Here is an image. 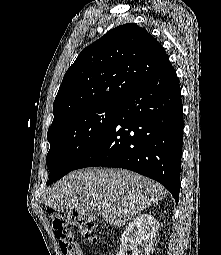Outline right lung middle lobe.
Segmentation results:
<instances>
[{
	"label": "right lung middle lobe",
	"mask_w": 221,
	"mask_h": 255,
	"mask_svg": "<svg viewBox=\"0 0 221 255\" xmlns=\"http://www.w3.org/2000/svg\"><path fill=\"white\" fill-rule=\"evenodd\" d=\"M120 103H104L79 110L48 129L50 150L46 165L50 172L47 185L73 170L74 166L106 130Z\"/></svg>",
	"instance_id": "right-lung-middle-lobe-1"
}]
</instances>
